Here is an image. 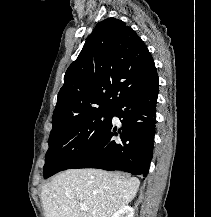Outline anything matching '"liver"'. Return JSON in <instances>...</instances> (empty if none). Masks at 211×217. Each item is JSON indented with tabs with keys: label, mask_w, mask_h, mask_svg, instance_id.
<instances>
[{
	"label": "liver",
	"mask_w": 211,
	"mask_h": 217,
	"mask_svg": "<svg viewBox=\"0 0 211 217\" xmlns=\"http://www.w3.org/2000/svg\"><path fill=\"white\" fill-rule=\"evenodd\" d=\"M139 185L137 178L120 173L66 170L42 187L45 217H111L133 200Z\"/></svg>",
	"instance_id": "1"
}]
</instances>
